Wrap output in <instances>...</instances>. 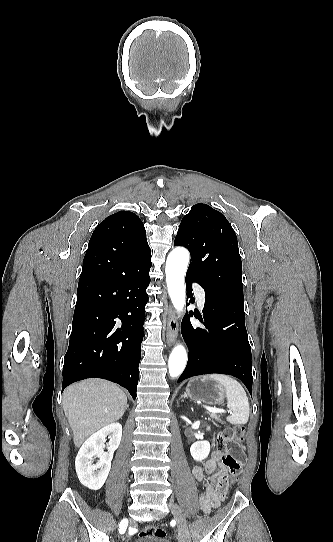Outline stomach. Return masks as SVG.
<instances>
[{
	"label": "stomach",
	"instance_id": "0dacf381",
	"mask_svg": "<svg viewBox=\"0 0 333 542\" xmlns=\"http://www.w3.org/2000/svg\"><path fill=\"white\" fill-rule=\"evenodd\" d=\"M186 394L195 400V402H203V404H222L225 400V394L217 382L208 380L206 376L200 378H192L186 386Z\"/></svg>",
	"mask_w": 333,
	"mask_h": 542
}]
</instances>
